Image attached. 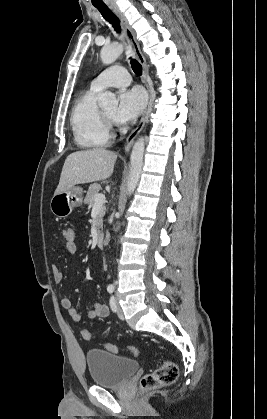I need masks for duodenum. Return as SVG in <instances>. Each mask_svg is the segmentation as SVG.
I'll return each instance as SVG.
<instances>
[{
	"label": "duodenum",
	"mask_w": 267,
	"mask_h": 419,
	"mask_svg": "<svg viewBox=\"0 0 267 419\" xmlns=\"http://www.w3.org/2000/svg\"><path fill=\"white\" fill-rule=\"evenodd\" d=\"M97 246L102 248L105 245V235L103 233H98L96 237Z\"/></svg>",
	"instance_id": "duodenum-1"
}]
</instances>
